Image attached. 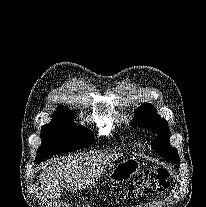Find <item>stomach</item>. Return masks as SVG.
<instances>
[{"label": "stomach", "instance_id": "stomach-1", "mask_svg": "<svg viewBox=\"0 0 206 207\" xmlns=\"http://www.w3.org/2000/svg\"><path fill=\"white\" fill-rule=\"evenodd\" d=\"M140 167L141 164L137 159L123 160L113 167L109 172L107 180L112 184L123 183L139 173Z\"/></svg>", "mask_w": 206, "mask_h": 207}]
</instances>
